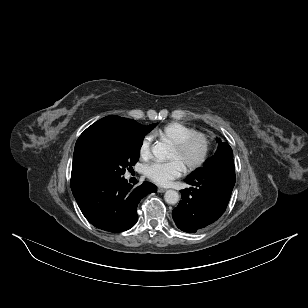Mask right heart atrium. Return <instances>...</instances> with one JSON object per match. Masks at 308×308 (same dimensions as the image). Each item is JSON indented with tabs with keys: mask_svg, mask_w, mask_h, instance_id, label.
Instances as JSON below:
<instances>
[{
	"mask_svg": "<svg viewBox=\"0 0 308 308\" xmlns=\"http://www.w3.org/2000/svg\"><path fill=\"white\" fill-rule=\"evenodd\" d=\"M151 137L150 136H145L140 145H139V149H138V152H139V156L141 159L143 160H147L149 159L150 157V154H151Z\"/></svg>",
	"mask_w": 308,
	"mask_h": 308,
	"instance_id": "d8ad5b80",
	"label": "right heart atrium"
}]
</instances>
